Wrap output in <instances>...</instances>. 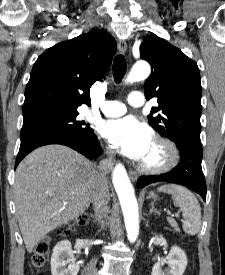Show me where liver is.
Listing matches in <instances>:
<instances>
[{
  "instance_id": "obj_1",
  "label": "liver",
  "mask_w": 225,
  "mask_h": 275,
  "mask_svg": "<svg viewBox=\"0 0 225 275\" xmlns=\"http://www.w3.org/2000/svg\"><path fill=\"white\" fill-rule=\"evenodd\" d=\"M96 166L63 145L37 148L19 164L14 201L29 253L55 228L77 218L90 205Z\"/></svg>"
}]
</instances>
